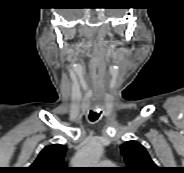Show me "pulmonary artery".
I'll use <instances>...</instances> for the list:
<instances>
[{
	"label": "pulmonary artery",
	"mask_w": 184,
	"mask_h": 173,
	"mask_svg": "<svg viewBox=\"0 0 184 173\" xmlns=\"http://www.w3.org/2000/svg\"><path fill=\"white\" fill-rule=\"evenodd\" d=\"M102 164H103L104 166H110V165H112L113 163H112L111 161H103Z\"/></svg>",
	"instance_id": "pulmonary-artery-1"
}]
</instances>
